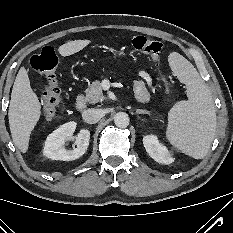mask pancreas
<instances>
[{
	"label": "pancreas",
	"mask_w": 233,
	"mask_h": 233,
	"mask_svg": "<svg viewBox=\"0 0 233 233\" xmlns=\"http://www.w3.org/2000/svg\"><path fill=\"white\" fill-rule=\"evenodd\" d=\"M102 83L96 80L89 84L88 89L85 90V100L91 104L102 102L105 97L103 95ZM133 91L135 93V99L138 102L146 103L150 99V94L145 87V83L142 80H134Z\"/></svg>",
	"instance_id": "obj_1"
}]
</instances>
